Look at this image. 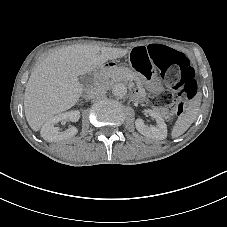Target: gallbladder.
Instances as JSON below:
<instances>
[{
    "label": "gallbladder",
    "instance_id": "gallbladder-1",
    "mask_svg": "<svg viewBox=\"0 0 227 227\" xmlns=\"http://www.w3.org/2000/svg\"><path fill=\"white\" fill-rule=\"evenodd\" d=\"M94 74L93 72L85 74L80 77V82L84 85V87H90L93 85Z\"/></svg>",
    "mask_w": 227,
    "mask_h": 227
}]
</instances>
